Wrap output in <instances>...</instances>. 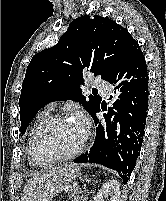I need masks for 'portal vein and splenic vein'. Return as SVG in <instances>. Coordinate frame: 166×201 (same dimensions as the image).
<instances>
[{"label":"portal vein and splenic vein","instance_id":"obj_1","mask_svg":"<svg viewBox=\"0 0 166 201\" xmlns=\"http://www.w3.org/2000/svg\"><path fill=\"white\" fill-rule=\"evenodd\" d=\"M66 190L68 191V190H69V187H66Z\"/></svg>","mask_w":166,"mask_h":201}]
</instances>
